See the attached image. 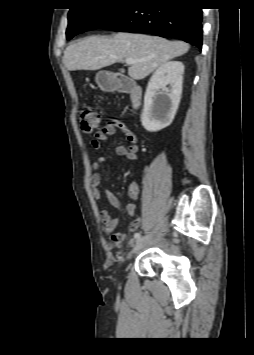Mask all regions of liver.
<instances>
[{
  "instance_id": "6515ba94",
  "label": "liver",
  "mask_w": 254,
  "mask_h": 355,
  "mask_svg": "<svg viewBox=\"0 0 254 355\" xmlns=\"http://www.w3.org/2000/svg\"><path fill=\"white\" fill-rule=\"evenodd\" d=\"M190 45L143 34L117 33L113 37L89 36L68 46L63 62L67 70H98L131 58L128 75L141 80L165 62L181 56Z\"/></svg>"
}]
</instances>
